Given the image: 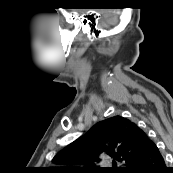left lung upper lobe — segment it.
Listing matches in <instances>:
<instances>
[{"label":"left lung upper lobe","mask_w":173,"mask_h":173,"mask_svg":"<svg viewBox=\"0 0 173 173\" xmlns=\"http://www.w3.org/2000/svg\"><path fill=\"white\" fill-rule=\"evenodd\" d=\"M145 146V132L131 120L114 116L95 124L85 135L68 145L54 158L63 164H84L86 167H58L59 173H126L135 156ZM105 154L124 161L127 167H97Z\"/></svg>","instance_id":"1"}]
</instances>
